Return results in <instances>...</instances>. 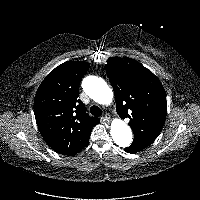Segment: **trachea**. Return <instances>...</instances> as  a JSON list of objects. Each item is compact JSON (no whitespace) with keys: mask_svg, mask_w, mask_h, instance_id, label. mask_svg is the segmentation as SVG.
Returning <instances> with one entry per match:
<instances>
[{"mask_svg":"<svg viewBox=\"0 0 200 200\" xmlns=\"http://www.w3.org/2000/svg\"><path fill=\"white\" fill-rule=\"evenodd\" d=\"M90 113H91L93 116L99 117V116L102 115V110H101V108H99L98 106L93 105V106L90 108Z\"/></svg>","mask_w":200,"mask_h":200,"instance_id":"1","label":"trachea"}]
</instances>
